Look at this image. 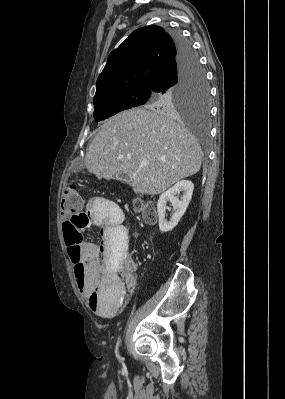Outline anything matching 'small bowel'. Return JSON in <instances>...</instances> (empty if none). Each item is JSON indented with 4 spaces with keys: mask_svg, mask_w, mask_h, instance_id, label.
<instances>
[{
    "mask_svg": "<svg viewBox=\"0 0 285 399\" xmlns=\"http://www.w3.org/2000/svg\"><path fill=\"white\" fill-rule=\"evenodd\" d=\"M85 212L88 227L99 228L102 240L100 245L93 241L80 244L81 253L77 263L83 266L84 273L79 289L86 294L95 314L110 317L124 302L126 289L130 292L134 290L135 261L129 255L118 258L119 222H123L124 217L111 203L101 197L91 198L85 203ZM108 212L110 217L105 219Z\"/></svg>",
    "mask_w": 285,
    "mask_h": 399,
    "instance_id": "small-bowel-1",
    "label": "small bowel"
}]
</instances>
